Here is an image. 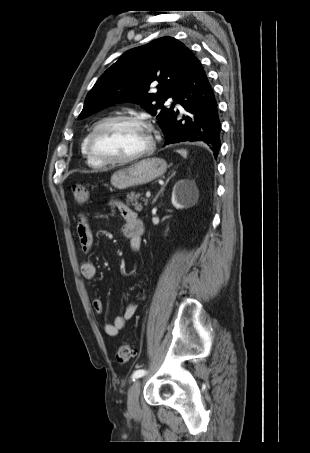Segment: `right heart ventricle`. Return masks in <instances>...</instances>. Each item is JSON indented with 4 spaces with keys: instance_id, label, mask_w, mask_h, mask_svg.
Segmentation results:
<instances>
[{
    "instance_id": "1",
    "label": "right heart ventricle",
    "mask_w": 310,
    "mask_h": 453,
    "mask_svg": "<svg viewBox=\"0 0 310 453\" xmlns=\"http://www.w3.org/2000/svg\"><path fill=\"white\" fill-rule=\"evenodd\" d=\"M90 131L84 136L81 142V152L86 159V163L91 168H101L104 167L106 164L96 160L89 152L87 141Z\"/></svg>"
}]
</instances>
